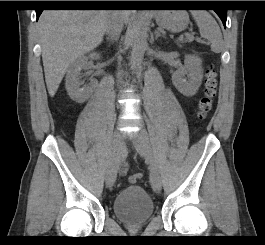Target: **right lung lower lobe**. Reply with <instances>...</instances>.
Listing matches in <instances>:
<instances>
[{"label": "right lung lower lobe", "instance_id": "right-lung-lower-lobe-1", "mask_svg": "<svg viewBox=\"0 0 265 245\" xmlns=\"http://www.w3.org/2000/svg\"><path fill=\"white\" fill-rule=\"evenodd\" d=\"M51 6H78V7H126V6H133L131 3L127 1H81L77 5L68 4V3H53ZM43 9H37L36 15L37 20L42 13Z\"/></svg>", "mask_w": 265, "mask_h": 245}]
</instances>
